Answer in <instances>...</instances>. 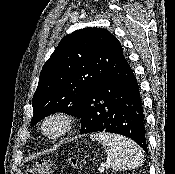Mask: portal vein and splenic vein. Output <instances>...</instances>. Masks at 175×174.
<instances>
[{"instance_id":"18ae733b","label":"portal vein and splenic vein","mask_w":175,"mask_h":174,"mask_svg":"<svg viewBox=\"0 0 175 174\" xmlns=\"http://www.w3.org/2000/svg\"><path fill=\"white\" fill-rule=\"evenodd\" d=\"M104 170H105V168H104L103 166L98 168V171H99L100 173L104 172Z\"/></svg>"}]
</instances>
